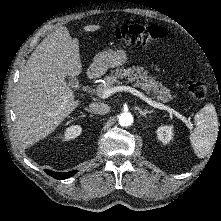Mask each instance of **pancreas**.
Returning <instances> with one entry per match:
<instances>
[{"instance_id":"pancreas-1","label":"pancreas","mask_w":221,"mask_h":221,"mask_svg":"<svg viewBox=\"0 0 221 221\" xmlns=\"http://www.w3.org/2000/svg\"><path fill=\"white\" fill-rule=\"evenodd\" d=\"M119 78L127 79L128 82L133 83V86L141 88L151 94L154 99L163 103L173 99L170 90L154 81V78L149 76L147 71H143L141 67L116 69L111 75L104 78L105 84L98 85L97 91H104L112 88L115 84H120Z\"/></svg>"}]
</instances>
